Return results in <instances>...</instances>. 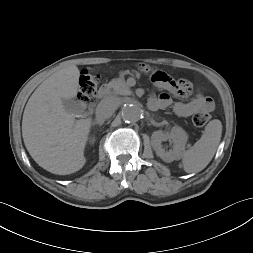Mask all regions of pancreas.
<instances>
[{
	"mask_svg": "<svg viewBox=\"0 0 253 253\" xmlns=\"http://www.w3.org/2000/svg\"><path fill=\"white\" fill-rule=\"evenodd\" d=\"M111 90L108 95H106L107 98H117L118 95H130L131 91L129 87L127 86L124 79L117 78L112 80L108 85Z\"/></svg>",
	"mask_w": 253,
	"mask_h": 253,
	"instance_id": "obj_1",
	"label": "pancreas"
}]
</instances>
